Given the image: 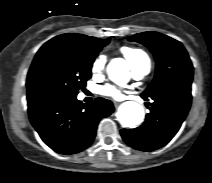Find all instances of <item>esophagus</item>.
I'll return each mask as SVG.
<instances>
[{
  "mask_svg": "<svg viewBox=\"0 0 212 183\" xmlns=\"http://www.w3.org/2000/svg\"><path fill=\"white\" fill-rule=\"evenodd\" d=\"M114 106L117 107L119 105V102L114 101Z\"/></svg>",
  "mask_w": 212,
  "mask_h": 183,
  "instance_id": "esophagus-1",
  "label": "esophagus"
}]
</instances>
